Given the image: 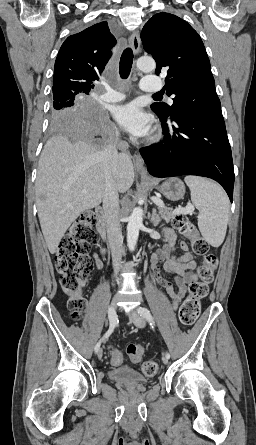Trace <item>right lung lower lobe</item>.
Returning <instances> with one entry per match:
<instances>
[{"mask_svg":"<svg viewBox=\"0 0 256 445\" xmlns=\"http://www.w3.org/2000/svg\"><path fill=\"white\" fill-rule=\"evenodd\" d=\"M81 120L86 121L87 129L84 135L88 137L98 136L102 141L108 142L113 137V127L105 110L98 105L88 104L81 113ZM123 147V145H120Z\"/></svg>","mask_w":256,"mask_h":445,"instance_id":"1","label":"right lung lower lobe"}]
</instances>
